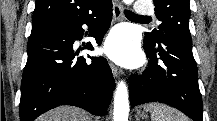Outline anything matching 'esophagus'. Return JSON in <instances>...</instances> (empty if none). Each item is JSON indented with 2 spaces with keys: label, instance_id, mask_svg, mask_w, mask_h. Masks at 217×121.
<instances>
[{
  "label": "esophagus",
  "instance_id": "obj_1",
  "mask_svg": "<svg viewBox=\"0 0 217 121\" xmlns=\"http://www.w3.org/2000/svg\"><path fill=\"white\" fill-rule=\"evenodd\" d=\"M123 16V6L119 0H113V20L114 22L119 21ZM111 71L114 77H119L122 72L121 70L114 64H110Z\"/></svg>",
  "mask_w": 217,
  "mask_h": 121
}]
</instances>
